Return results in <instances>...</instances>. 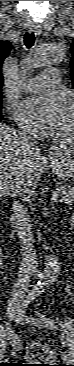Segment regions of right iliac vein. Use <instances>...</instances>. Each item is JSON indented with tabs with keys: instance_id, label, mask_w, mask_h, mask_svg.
I'll list each match as a JSON object with an SVG mask.
<instances>
[{
	"instance_id": "63e3f726",
	"label": "right iliac vein",
	"mask_w": 74,
	"mask_h": 366,
	"mask_svg": "<svg viewBox=\"0 0 74 366\" xmlns=\"http://www.w3.org/2000/svg\"><path fill=\"white\" fill-rule=\"evenodd\" d=\"M18 309H19V307L16 306V307H11V309L9 310V313H10L12 319L15 321H19V319H20V312Z\"/></svg>"
}]
</instances>
